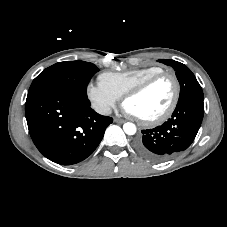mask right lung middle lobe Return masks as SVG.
<instances>
[{"label": "right lung middle lobe", "mask_w": 227, "mask_h": 227, "mask_svg": "<svg viewBox=\"0 0 227 227\" xmlns=\"http://www.w3.org/2000/svg\"><path fill=\"white\" fill-rule=\"evenodd\" d=\"M99 69L84 61H64L43 70L32 82L28 95L45 89H59L84 95L90 78Z\"/></svg>", "instance_id": "1"}]
</instances>
